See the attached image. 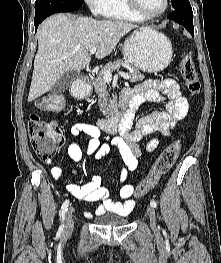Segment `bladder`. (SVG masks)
I'll return each instance as SVG.
<instances>
[{"mask_svg":"<svg viewBox=\"0 0 221 263\" xmlns=\"http://www.w3.org/2000/svg\"><path fill=\"white\" fill-rule=\"evenodd\" d=\"M94 220L95 224L100 226H122L127 224V219L118 215L98 216Z\"/></svg>","mask_w":221,"mask_h":263,"instance_id":"obj_1","label":"bladder"}]
</instances>
